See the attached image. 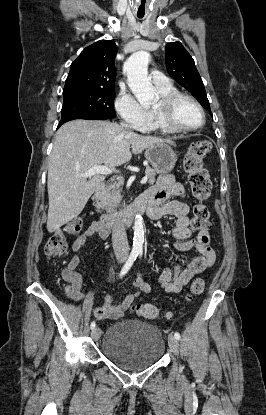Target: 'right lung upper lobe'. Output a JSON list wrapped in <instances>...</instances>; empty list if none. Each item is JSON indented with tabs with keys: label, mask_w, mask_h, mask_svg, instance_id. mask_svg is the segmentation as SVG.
Here are the masks:
<instances>
[{
	"label": "right lung upper lobe",
	"mask_w": 266,
	"mask_h": 415,
	"mask_svg": "<svg viewBox=\"0 0 266 415\" xmlns=\"http://www.w3.org/2000/svg\"><path fill=\"white\" fill-rule=\"evenodd\" d=\"M117 46L113 40H100L86 47L71 64L63 92L77 89H113Z\"/></svg>",
	"instance_id": "right-lung-upper-lobe-1"
}]
</instances>
